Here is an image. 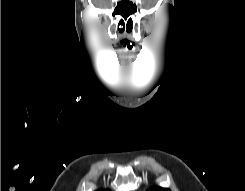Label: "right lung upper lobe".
Instances as JSON below:
<instances>
[{"mask_svg": "<svg viewBox=\"0 0 245 191\" xmlns=\"http://www.w3.org/2000/svg\"><path fill=\"white\" fill-rule=\"evenodd\" d=\"M98 191H109V190H98Z\"/></svg>", "mask_w": 245, "mask_h": 191, "instance_id": "1", "label": "right lung upper lobe"}]
</instances>
